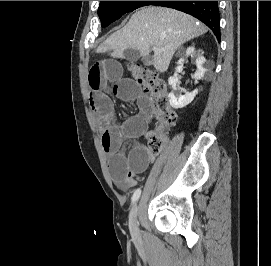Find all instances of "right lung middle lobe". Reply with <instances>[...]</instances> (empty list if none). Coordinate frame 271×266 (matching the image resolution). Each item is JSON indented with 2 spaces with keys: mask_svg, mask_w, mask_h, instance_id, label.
Returning <instances> with one entry per match:
<instances>
[{
  "mask_svg": "<svg viewBox=\"0 0 271 266\" xmlns=\"http://www.w3.org/2000/svg\"><path fill=\"white\" fill-rule=\"evenodd\" d=\"M153 1H100L98 16L101 26L106 27L110 23L118 20L124 14L133 10L150 5Z\"/></svg>",
  "mask_w": 271,
  "mask_h": 266,
  "instance_id": "obj_1",
  "label": "right lung middle lobe"
}]
</instances>
